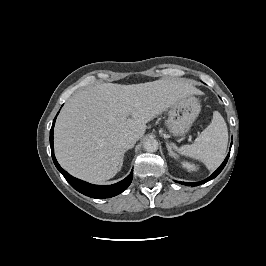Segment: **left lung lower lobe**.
I'll use <instances>...</instances> for the list:
<instances>
[{
	"label": "left lung lower lobe",
	"instance_id": "obj_1",
	"mask_svg": "<svg viewBox=\"0 0 266 266\" xmlns=\"http://www.w3.org/2000/svg\"><path fill=\"white\" fill-rule=\"evenodd\" d=\"M229 155H230V153L227 155V157L225 158V160L221 164V166L210 177H208L207 179H205L203 181H200V182H195V183H187V182H179V183H181L183 185H186V186H198V185H201L203 183H206V182L214 179L222 171V169L225 167V165H226V163L228 161Z\"/></svg>",
	"mask_w": 266,
	"mask_h": 266
}]
</instances>
